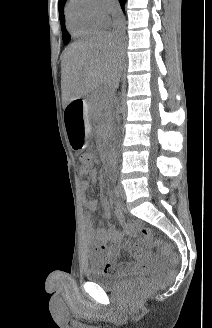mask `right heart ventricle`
I'll return each mask as SVG.
<instances>
[{"label":"right heart ventricle","instance_id":"e07e8e85","mask_svg":"<svg viewBox=\"0 0 212 328\" xmlns=\"http://www.w3.org/2000/svg\"><path fill=\"white\" fill-rule=\"evenodd\" d=\"M65 16L67 28L75 37L90 35L106 24L94 14L89 0H69Z\"/></svg>","mask_w":212,"mask_h":328}]
</instances>
